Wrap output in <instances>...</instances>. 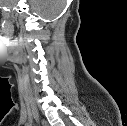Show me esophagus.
Here are the masks:
<instances>
[{"label":"esophagus","mask_w":127,"mask_h":126,"mask_svg":"<svg viewBox=\"0 0 127 126\" xmlns=\"http://www.w3.org/2000/svg\"><path fill=\"white\" fill-rule=\"evenodd\" d=\"M42 124H43V125H46V122H45L44 120H42Z\"/></svg>","instance_id":"34e87169"}]
</instances>
